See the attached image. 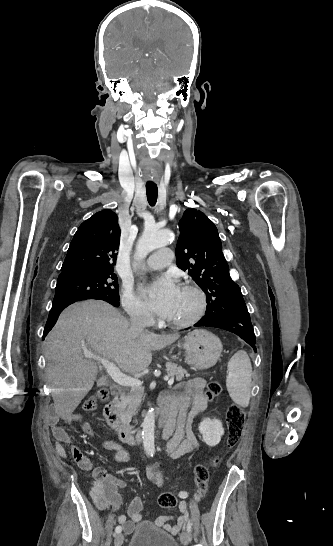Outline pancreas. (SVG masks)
<instances>
[{
	"label": "pancreas",
	"instance_id": "cf45deb5",
	"mask_svg": "<svg viewBox=\"0 0 333 546\" xmlns=\"http://www.w3.org/2000/svg\"><path fill=\"white\" fill-rule=\"evenodd\" d=\"M166 371L169 377H175L177 381L182 380L184 376H189V373L185 369L173 363L166 364ZM143 394L144 390L141 387H133L127 394H123L120 397V405L124 417L130 419L136 414L137 408L141 404Z\"/></svg>",
	"mask_w": 333,
	"mask_h": 546
}]
</instances>
